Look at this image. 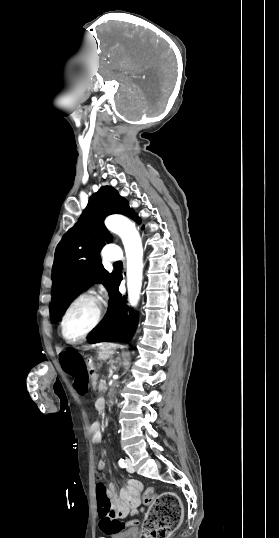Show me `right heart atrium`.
Listing matches in <instances>:
<instances>
[{
	"label": "right heart atrium",
	"mask_w": 279,
	"mask_h": 538,
	"mask_svg": "<svg viewBox=\"0 0 279 538\" xmlns=\"http://www.w3.org/2000/svg\"><path fill=\"white\" fill-rule=\"evenodd\" d=\"M122 237H128L131 242H133V239L129 236H125L124 234H120Z\"/></svg>",
	"instance_id": "obj_1"
}]
</instances>
